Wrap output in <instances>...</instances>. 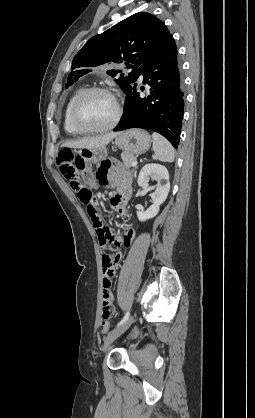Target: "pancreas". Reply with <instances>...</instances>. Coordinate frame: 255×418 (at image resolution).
I'll return each mask as SVG.
<instances>
[{
    "mask_svg": "<svg viewBox=\"0 0 255 418\" xmlns=\"http://www.w3.org/2000/svg\"><path fill=\"white\" fill-rule=\"evenodd\" d=\"M121 158L124 162L125 167H130L132 162L136 161V157L134 155L127 154V153H124V152L121 154Z\"/></svg>",
    "mask_w": 255,
    "mask_h": 418,
    "instance_id": "obj_1",
    "label": "pancreas"
}]
</instances>
